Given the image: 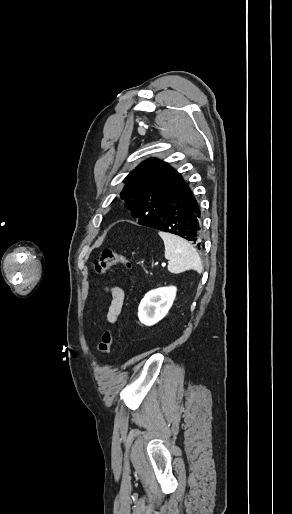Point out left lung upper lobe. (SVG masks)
<instances>
[{
    "label": "left lung upper lobe",
    "mask_w": 292,
    "mask_h": 514,
    "mask_svg": "<svg viewBox=\"0 0 292 514\" xmlns=\"http://www.w3.org/2000/svg\"><path fill=\"white\" fill-rule=\"evenodd\" d=\"M123 182L121 199L138 224L144 226L160 214L171 196L185 183L180 173L156 158L143 161Z\"/></svg>",
    "instance_id": "1"
}]
</instances>
